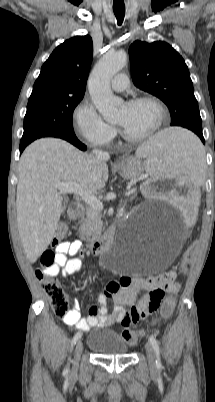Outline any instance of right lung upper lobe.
Segmentation results:
<instances>
[{
  "mask_svg": "<svg viewBox=\"0 0 215 402\" xmlns=\"http://www.w3.org/2000/svg\"><path fill=\"white\" fill-rule=\"evenodd\" d=\"M93 53L89 35L76 36L59 45L41 67L31 96L53 94L83 97Z\"/></svg>",
  "mask_w": 215,
  "mask_h": 402,
  "instance_id": "right-lung-upper-lobe-1",
  "label": "right lung upper lobe"
}]
</instances>
